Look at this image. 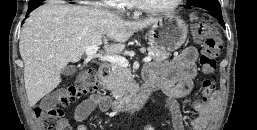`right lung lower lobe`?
Returning <instances> with one entry per match:
<instances>
[{"instance_id":"98d812e1","label":"right lung lower lobe","mask_w":257,"mask_h":130,"mask_svg":"<svg viewBox=\"0 0 257 130\" xmlns=\"http://www.w3.org/2000/svg\"><path fill=\"white\" fill-rule=\"evenodd\" d=\"M40 4H41V3H40ZM40 4H39V5H40ZM34 9H35V8H30V7H29V8H28V12H31V11H33Z\"/></svg>"}]
</instances>
